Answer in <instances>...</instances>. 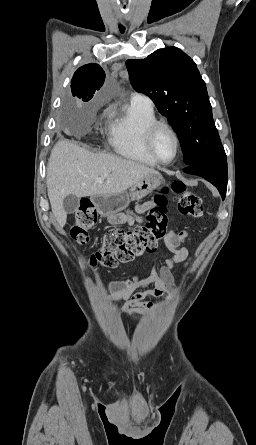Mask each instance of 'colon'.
Instances as JSON below:
<instances>
[{
  "instance_id": "obj_1",
  "label": "colon",
  "mask_w": 256,
  "mask_h": 445,
  "mask_svg": "<svg viewBox=\"0 0 256 445\" xmlns=\"http://www.w3.org/2000/svg\"><path fill=\"white\" fill-rule=\"evenodd\" d=\"M169 193L178 195L177 206L183 216L193 218L202 216L201 197L187 190L182 182H173L170 186L161 188L142 224L130 230H108L103 237L101 249L90 254L89 261L93 265L114 267L117 263L129 262L143 253L154 252L167 236L166 207ZM74 219L75 222L70 230L71 237L80 245L86 244L89 240V230L98 223L93 204L90 201L82 202L74 214Z\"/></svg>"
}]
</instances>
